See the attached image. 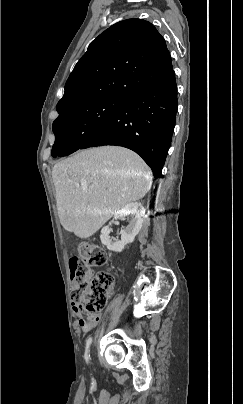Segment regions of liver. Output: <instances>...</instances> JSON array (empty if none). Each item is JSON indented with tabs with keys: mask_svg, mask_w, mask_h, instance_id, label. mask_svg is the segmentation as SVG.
Returning a JSON list of instances; mask_svg holds the SVG:
<instances>
[{
	"mask_svg": "<svg viewBox=\"0 0 243 404\" xmlns=\"http://www.w3.org/2000/svg\"><path fill=\"white\" fill-rule=\"evenodd\" d=\"M59 220L78 238H90L114 212L146 196L152 172L135 152L89 148L52 168Z\"/></svg>",
	"mask_w": 243,
	"mask_h": 404,
	"instance_id": "liver-1",
	"label": "liver"
}]
</instances>
